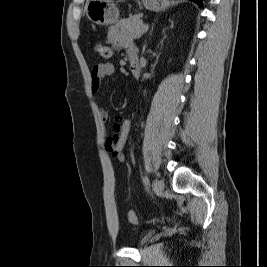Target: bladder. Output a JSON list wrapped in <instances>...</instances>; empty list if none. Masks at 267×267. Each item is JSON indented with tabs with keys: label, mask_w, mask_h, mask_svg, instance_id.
<instances>
[{
	"label": "bladder",
	"mask_w": 267,
	"mask_h": 267,
	"mask_svg": "<svg viewBox=\"0 0 267 267\" xmlns=\"http://www.w3.org/2000/svg\"><path fill=\"white\" fill-rule=\"evenodd\" d=\"M153 232H148L144 237L141 238V240L139 241L138 245L142 246L144 244H146L148 242V240L150 239V237L152 236Z\"/></svg>",
	"instance_id": "obj_1"
}]
</instances>
